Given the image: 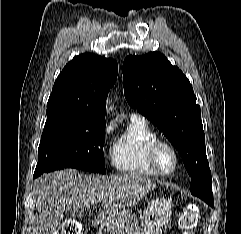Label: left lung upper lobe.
<instances>
[{
    "label": "left lung upper lobe",
    "instance_id": "obj_1",
    "mask_svg": "<svg viewBox=\"0 0 241 234\" xmlns=\"http://www.w3.org/2000/svg\"><path fill=\"white\" fill-rule=\"evenodd\" d=\"M124 95L173 144L191 177V194L214 206L200 106L182 71L159 52L128 56L123 63Z\"/></svg>",
    "mask_w": 241,
    "mask_h": 234
}]
</instances>
